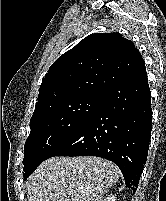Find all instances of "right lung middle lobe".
Returning a JSON list of instances; mask_svg holds the SVG:
<instances>
[{"instance_id":"obj_1","label":"right lung middle lobe","mask_w":166,"mask_h":201,"mask_svg":"<svg viewBox=\"0 0 166 201\" xmlns=\"http://www.w3.org/2000/svg\"><path fill=\"white\" fill-rule=\"evenodd\" d=\"M102 95H82L60 102L30 120L31 132L24 145V180L99 105Z\"/></svg>"}]
</instances>
